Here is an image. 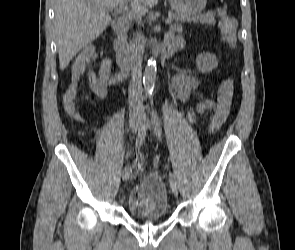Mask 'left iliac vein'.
Wrapping results in <instances>:
<instances>
[{"mask_svg": "<svg viewBox=\"0 0 295 250\" xmlns=\"http://www.w3.org/2000/svg\"><path fill=\"white\" fill-rule=\"evenodd\" d=\"M151 129H152V126H151L150 121L149 120H145L144 121V124L142 125L141 130L142 131H145V130L150 131ZM171 191L174 194V196H176V197L178 196V188H177V186H171Z\"/></svg>", "mask_w": 295, "mask_h": 250, "instance_id": "obj_1", "label": "left iliac vein"}]
</instances>
